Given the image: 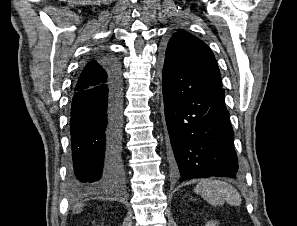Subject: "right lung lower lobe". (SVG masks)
<instances>
[{
  "label": "right lung lower lobe",
  "instance_id": "obj_1",
  "mask_svg": "<svg viewBox=\"0 0 297 226\" xmlns=\"http://www.w3.org/2000/svg\"><path fill=\"white\" fill-rule=\"evenodd\" d=\"M103 64L106 81L75 91L72 97L70 176L76 194L123 180L121 76L113 59Z\"/></svg>",
  "mask_w": 297,
  "mask_h": 226
}]
</instances>
